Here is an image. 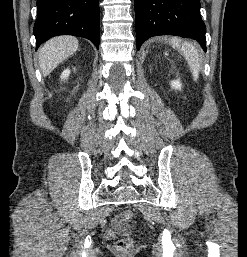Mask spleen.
Instances as JSON below:
<instances>
[{
	"label": "spleen",
	"mask_w": 247,
	"mask_h": 257,
	"mask_svg": "<svg viewBox=\"0 0 247 257\" xmlns=\"http://www.w3.org/2000/svg\"><path fill=\"white\" fill-rule=\"evenodd\" d=\"M170 44L174 48H180L182 55L185 57V59L189 64L192 76L196 81L199 78V72H200V66H201V60L196 47L188 41H185L181 45V40L177 37L170 39Z\"/></svg>",
	"instance_id": "obj_1"
}]
</instances>
